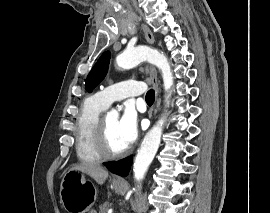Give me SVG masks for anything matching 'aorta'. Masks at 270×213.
I'll list each match as a JSON object with an SVG mask.
<instances>
[{
  "label": "aorta",
  "mask_w": 270,
  "mask_h": 213,
  "mask_svg": "<svg viewBox=\"0 0 270 213\" xmlns=\"http://www.w3.org/2000/svg\"><path fill=\"white\" fill-rule=\"evenodd\" d=\"M148 61L159 68L162 73L164 89L168 93L166 103L169 104L171 87L173 85V74L167 58L155 49L139 46L127 49L116 57V64L122 69H130ZM108 115L118 117V113L112 110ZM164 119L159 121L145 135L133 165L134 178L137 182L143 180L151 162L153 161L160 145L163 132Z\"/></svg>",
  "instance_id": "1"
}]
</instances>
